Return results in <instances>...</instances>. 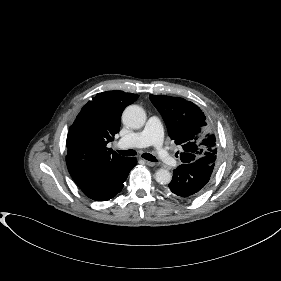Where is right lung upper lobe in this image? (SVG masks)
<instances>
[{
  "label": "right lung upper lobe",
  "mask_w": 281,
  "mask_h": 281,
  "mask_svg": "<svg viewBox=\"0 0 281 281\" xmlns=\"http://www.w3.org/2000/svg\"><path fill=\"white\" fill-rule=\"evenodd\" d=\"M138 97L123 91L99 93L82 108L69 128L67 168L83 192L101 184L126 159L106 145L119 132L123 110Z\"/></svg>",
  "instance_id": "cb5924a9"
}]
</instances>
